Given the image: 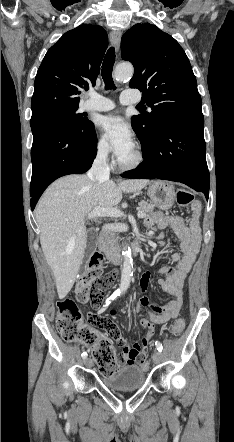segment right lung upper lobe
<instances>
[{
    "instance_id": "obj_1",
    "label": "right lung upper lobe",
    "mask_w": 234,
    "mask_h": 442,
    "mask_svg": "<svg viewBox=\"0 0 234 442\" xmlns=\"http://www.w3.org/2000/svg\"><path fill=\"white\" fill-rule=\"evenodd\" d=\"M108 46L106 31L82 24L65 33L46 53L35 78L32 115L79 107L78 94L95 85Z\"/></svg>"
}]
</instances>
